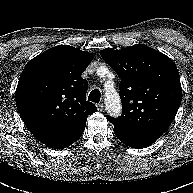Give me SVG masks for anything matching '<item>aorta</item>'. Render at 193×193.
Returning <instances> with one entry per match:
<instances>
[{
  "instance_id": "obj_1",
  "label": "aorta",
  "mask_w": 193,
  "mask_h": 193,
  "mask_svg": "<svg viewBox=\"0 0 193 193\" xmlns=\"http://www.w3.org/2000/svg\"><path fill=\"white\" fill-rule=\"evenodd\" d=\"M105 101L108 112L112 115H117L121 111V102L118 93L115 90H110L106 93Z\"/></svg>"
}]
</instances>
